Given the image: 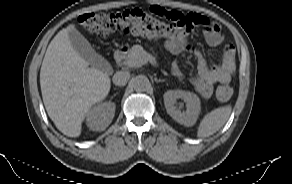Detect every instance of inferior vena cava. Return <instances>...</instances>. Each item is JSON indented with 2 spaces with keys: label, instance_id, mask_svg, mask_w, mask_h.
<instances>
[{
  "label": "inferior vena cava",
  "instance_id": "1",
  "mask_svg": "<svg viewBox=\"0 0 292 184\" xmlns=\"http://www.w3.org/2000/svg\"><path fill=\"white\" fill-rule=\"evenodd\" d=\"M130 79L128 71H118L114 74L112 81L116 86H125Z\"/></svg>",
  "mask_w": 292,
  "mask_h": 184
}]
</instances>
